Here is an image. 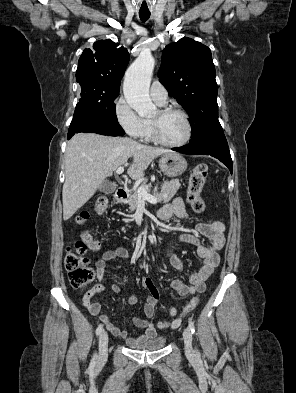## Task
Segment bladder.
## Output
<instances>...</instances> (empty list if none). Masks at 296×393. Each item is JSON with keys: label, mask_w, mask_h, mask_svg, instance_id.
Instances as JSON below:
<instances>
[{"label": "bladder", "mask_w": 296, "mask_h": 393, "mask_svg": "<svg viewBox=\"0 0 296 393\" xmlns=\"http://www.w3.org/2000/svg\"><path fill=\"white\" fill-rule=\"evenodd\" d=\"M166 344V338L164 337H157L151 340H148L145 343L140 345L134 346L136 350H143V351H157L162 349Z\"/></svg>", "instance_id": "31cf9c89"}]
</instances>
